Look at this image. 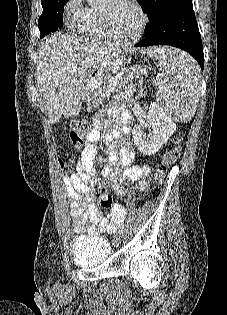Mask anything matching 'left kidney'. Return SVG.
<instances>
[{
  "mask_svg": "<svg viewBox=\"0 0 227 315\" xmlns=\"http://www.w3.org/2000/svg\"><path fill=\"white\" fill-rule=\"evenodd\" d=\"M147 128L152 132L145 133ZM174 121L156 104L151 103L144 124H138L133 129L134 143L145 155H154L176 131Z\"/></svg>",
  "mask_w": 227,
  "mask_h": 315,
  "instance_id": "5707ae66",
  "label": "left kidney"
}]
</instances>
